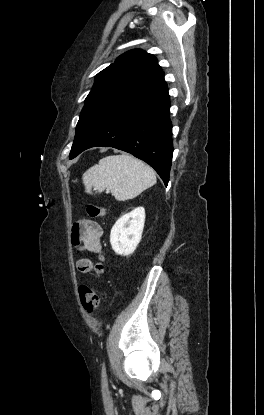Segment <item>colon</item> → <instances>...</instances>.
I'll return each instance as SVG.
<instances>
[{
	"instance_id": "1",
	"label": "colon",
	"mask_w": 264,
	"mask_h": 415,
	"mask_svg": "<svg viewBox=\"0 0 264 415\" xmlns=\"http://www.w3.org/2000/svg\"><path fill=\"white\" fill-rule=\"evenodd\" d=\"M87 215L89 218H98L104 215V210L97 204H90L87 207ZM77 265L81 270H89L94 263L88 258H80ZM79 299L81 306L88 314H95L99 305V295L96 289L81 286L79 288Z\"/></svg>"
}]
</instances>
